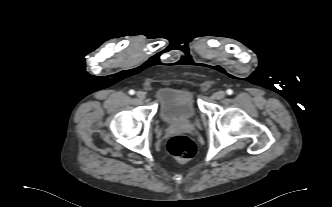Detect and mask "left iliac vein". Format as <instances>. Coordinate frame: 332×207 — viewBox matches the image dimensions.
<instances>
[{
  "mask_svg": "<svg viewBox=\"0 0 332 207\" xmlns=\"http://www.w3.org/2000/svg\"><path fill=\"white\" fill-rule=\"evenodd\" d=\"M225 97V92L224 91H217L213 94V98L216 100H221Z\"/></svg>",
  "mask_w": 332,
  "mask_h": 207,
  "instance_id": "1",
  "label": "left iliac vein"
}]
</instances>
